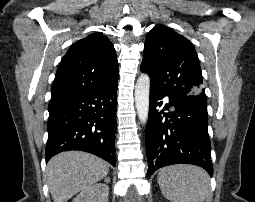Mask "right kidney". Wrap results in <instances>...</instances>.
<instances>
[{
	"mask_svg": "<svg viewBox=\"0 0 255 202\" xmlns=\"http://www.w3.org/2000/svg\"><path fill=\"white\" fill-rule=\"evenodd\" d=\"M109 187L98 183L84 188L72 202H108Z\"/></svg>",
	"mask_w": 255,
	"mask_h": 202,
	"instance_id": "obj_1",
	"label": "right kidney"
}]
</instances>
